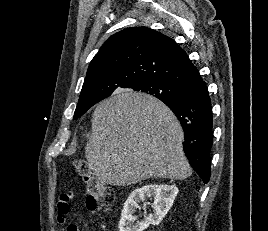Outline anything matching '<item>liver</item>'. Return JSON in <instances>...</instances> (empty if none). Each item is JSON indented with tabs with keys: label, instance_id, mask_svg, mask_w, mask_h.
<instances>
[{
	"label": "liver",
	"instance_id": "obj_1",
	"mask_svg": "<svg viewBox=\"0 0 268 231\" xmlns=\"http://www.w3.org/2000/svg\"><path fill=\"white\" fill-rule=\"evenodd\" d=\"M183 130L160 100L120 90L93 113L85 157L102 184L128 186L149 178L183 180L192 174Z\"/></svg>",
	"mask_w": 268,
	"mask_h": 231
}]
</instances>
